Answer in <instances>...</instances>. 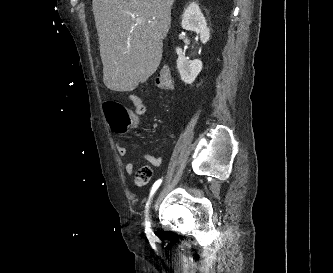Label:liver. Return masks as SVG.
I'll use <instances>...</instances> for the list:
<instances>
[{
  "instance_id": "liver-1",
  "label": "liver",
  "mask_w": 333,
  "mask_h": 273,
  "mask_svg": "<svg viewBox=\"0 0 333 273\" xmlns=\"http://www.w3.org/2000/svg\"><path fill=\"white\" fill-rule=\"evenodd\" d=\"M174 1H92L107 88L133 91L156 72L162 59V40L170 29Z\"/></svg>"
}]
</instances>
